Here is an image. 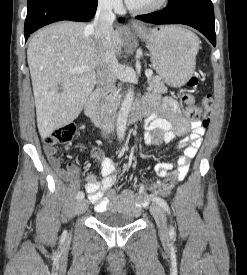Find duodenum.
I'll return each mask as SVG.
<instances>
[{
  "label": "duodenum",
  "mask_w": 247,
  "mask_h": 275,
  "mask_svg": "<svg viewBox=\"0 0 247 275\" xmlns=\"http://www.w3.org/2000/svg\"><path fill=\"white\" fill-rule=\"evenodd\" d=\"M102 96L103 91L97 90L87 99L85 114L103 129L110 130L113 126L112 118L109 111L101 103ZM144 112L142 105H135L129 115V124L138 122L143 117Z\"/></svg>",
  "instance_id": "duodenum-1"
}]
</instances>
